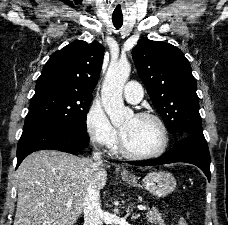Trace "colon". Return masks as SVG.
<instances>
[{
    "label": "colon",
    "mask_w": 228,
    "mask_h": 225,
    "mask_svg": "<svg viewBox=\"0 0 228 225\" xmlns=\"http://www.w3.org/2000/svg\"><path fill=\"white\" fill-rule=\"evenodd\" d=\"M177 225H187V222L183 218H180L177 221Z\"/></svg>",
    "instance_id": "obj_1"
}]
</instances>
